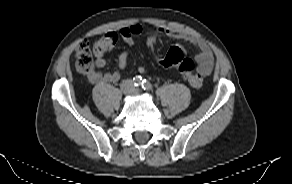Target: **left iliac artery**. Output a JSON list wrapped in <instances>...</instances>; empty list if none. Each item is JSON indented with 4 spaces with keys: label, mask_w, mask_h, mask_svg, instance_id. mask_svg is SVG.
Here are the masks:
<instances>
[{
    "label": "left iliac artery",
    "mask_w": 292,
    "mask_h": 184,
    "mask_svg": "<svg viewBox=\"0 0 292 184\" xmlns=\"http://www.w3.org/2000/svg\"><path fill=\"white\" fill-rule=\"evenodd\" d=\"M141 87L146 90V91H150L152 90V85L150 82H148L146 79L142 80V84H141Z\"/></svg>",
    "instance_id": "left-iliac-artery-1"
}]
</instances>
